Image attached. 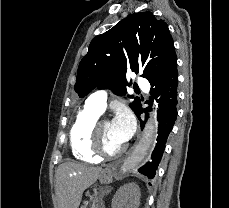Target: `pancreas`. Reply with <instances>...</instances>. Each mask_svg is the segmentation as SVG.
Here are the masks:
<instances>
[{
    "mask_svg": "<svg viewBox=\"0 0 229 208\" xmlns=\"http://www.w3.org/2000/svg\"><path fill=\"white\" fill-rule=\"evenodd\" d=\"M81 208H104V206L102 200L95 198V200H89V202H85L84 206H81Z\"/></svg>",
    "mask_w": 229,
    "mask_h": 208,
    "instance_id": "cf45deb5",
    "label": "pancreas"
}]
</instances>
